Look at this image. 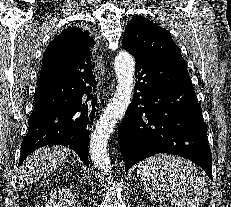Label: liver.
<instances>
[{"label":"liver","mask_w":231,"mask_h":207,"mask_svg":"<svg viewBox=\"0 0 231 207\" xmlns=\"http://www.w3.org/2000/svg\"><path fill=\"white\" fill-rule=\"evenodd\" d=\"M71 150L64 146H47L28 156L19 173L20 185L49 176L66 160Z\"/></svg>","instance_id":"1"}]
</instances>
